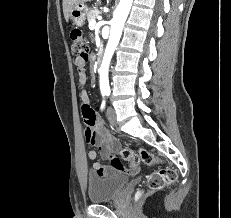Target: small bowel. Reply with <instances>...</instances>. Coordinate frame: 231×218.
<instances>
[{
    "instance_id": "small-bowel-1",
    "label": "small bowel",
    "mask_w": 231,
    "mask_h": 218,
    "mask_svg": "<svg viewBox=\"0 0 231 218\" xmlns=\"http://www.w3.org/2000/svg\"><path fill=\"white\" fill-rule=\"evenodd\" d=\"M88 58L84 56H79L75 59L76 74H79V82L82 86L85 85L87 77V69H85V64L88 63ZM82 100V114L84 121L86 123V128L84 130V136L88 143L96 146L98 152L95 150H90L87 153V158L92 161L93 173L99 176H112L115 174H126L135 175L138 172L137 168L125 169L122 164L119 167H114L112 164L110 166H104L99 161H97L98 155L104 160H110L112 162L116 157L114 153L117 151L119 144L118 142L106 131L104 125L96 121V112L92 108L89 100V96L85 90L81 92Z\"/></svg>"
}]
</instances>
